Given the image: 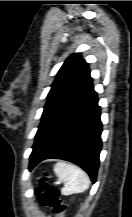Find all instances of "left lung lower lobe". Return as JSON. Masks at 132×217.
I'll return each mask as SVG.
<instances>
[{"mask_svg": "<svg viewBox=\"0 0 132 217\" xmlns=\"http://www.w3.org/2000/svg\"><path fill=\"white\" fill-rule=\"evenodd\" d=\"M102 123L93 85L66 107L33 146L29 170L49 158L70 161L96 181L101 151Z\"/></svg>", "mask_w": 132, "mask_h": 217, "instance_id": "1", "label": "left lung lower lobe"}]
</instances>
